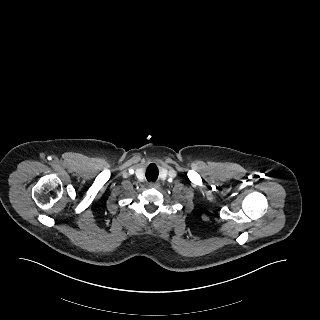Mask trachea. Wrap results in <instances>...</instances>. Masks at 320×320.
I'll list each match as a JSON object with an SVG mask.
<instances>
[{"label":"trachea","mask_w":320,"mask_h":320,"mask_svg":"<svg viewBox=\"0 0 320 320\" xmlns=\"http://www.w3.org/2000/svg\"><path fill=\"white\" fill-rule=\"evenodd\" d=\"M158 177V172L155 169L149 168L146 171V178L149 181H155Z\"/></svg>","instance_id":"3493384b"}]
</instances>
